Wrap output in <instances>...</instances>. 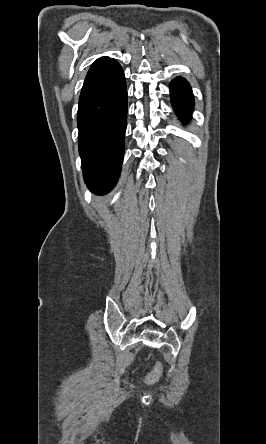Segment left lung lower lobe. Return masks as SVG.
Here are the masks:
<instances>
[{
	"instance_id": "1",
	"label": "left lung lower lobe",
	"mask_w": 266,
	"mask_h": 444,
	"mask_svg": "<svg viewBox=\"0 0 266 444\" xmlns=\"http://www.w3.org/2000/svg\"><path fill=\"white\" fill-rule=\"evenodd\" d=\"M171 102L178 116L183 121L191 118L194 98L189 83L183 78H176L170 84Z\"/></svg>"
}]
</instances>
